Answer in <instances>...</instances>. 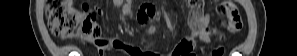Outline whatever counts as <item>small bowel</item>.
<instances>
[{"label":"small bowel","instance_id":"c3829d8e","mask_svg":"<svg viewBox=\"0 0 297 56\" xmlns=\"http://www.w3.org/2000/svg\"><path fill=\"white\" fill-rule=\"evenodd\" d=\"M113 3L122 8L124 16L131 15V0H113ZM187 6L190 9L189 26L193 32V35L185 38L179 45L172 49L167 56H194L192 49L195 44V38L198 37L206 43L212 42V37L216 36L223 39V34L209 26L210 15L203 10L202 3L197 1H188ZM155 10L151 5H145L141 8L138 14V20L141 24H145L149 19L154 17ZM86 41H89V45H95V49H99L100 55L110 47L124 50L132 56H158L156 53H141L137 48L127 45L121 41L113 40L107 41L106 36H101V40H97V36H86ZM223 50L222 47L216 48V50Z\"/></svg>","mask_w":297,"mask_h":56}]
</instances>
